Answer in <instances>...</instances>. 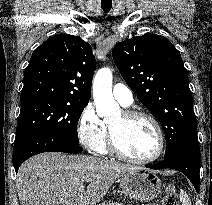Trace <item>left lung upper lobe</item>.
<instances>
[{
    "label": "left lung upper lobe",
    "mask_w": 212,
    "mask_h": 205,
    "mask_svg": "<svg viewBox=\"0 0 212 205\" xmlns=\"http://www.w3.org/2000/svg\"><path fill=\"white\" fill-rule=\"evenodd\" d=\"M112 54L126 83L165 132L164 158L195 139L196 117L179 51L164 36L144 34L118 43Z\"/></svg>",
    "instance_id": "left-lung-upper-lobe-1"
}]
</instances>
